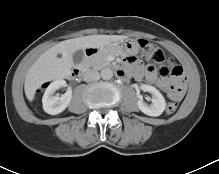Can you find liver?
<instances>
[{"mask_svg":"<svg viewBox=\"0 0 219 174\" xmlns=\"http://www.w3.org/2000/svg\"><path fill=\"white\" fill-rule=\"evenodd\" d=\"M127 38L124 35H91L65 40L49 48L40 55L27 72L24 83L27 99L32 101L42 84L68 78L74 65L73 54L76 51L86 48H103Z\"/></svg>","mask_w":219,"mask_h":174,"instance_id":"obj_1","label":"liver"}]
</instances>
